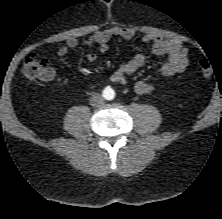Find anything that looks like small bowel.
<instances>
[{"mask_svg":"<svg viewBox=\"0 0 222 219\" xmlns=\"http://www.w3.org/2000/svg\"><path fill=\"white\" fill-rule=\"evenodd\" d=\"M135 31L128 27H111L95 32L90 37L79 41L71 37L66 45L57 50V55L65 56L69 49L77 47L79 44L84 46L96 45L99 53H104L108 49V43L112 39L130 40L135 37ZM143 41L151 46L152 53L156 56H167L168 60L160 67L163 77H171L186 70L189 62L187 48L179 41L163 39L155 34L148 33L143 36ZM88 62L93 63L98 59L97 52H89L86 56ZM145 63L143 54H135L127 61L123 62L110 76V80L116 84L123 85ZM55 75L54 69L50 68V77L45 81L51 80ZM156 86L147 81H137L135 91L138 94H148L155 90Z\"/></svg>","mask_w":222,"mask_h":219,"instance_id":"small-bowel-1","label":"small bowel"}]
</instances>
